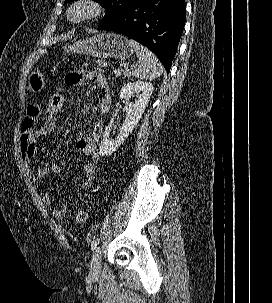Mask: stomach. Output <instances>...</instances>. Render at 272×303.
I'll use <instances>...</instances> for the list:
<instances>
[{"mask_svg": "<svg viewBox=\"0 0 272 303\" xmlns=\"http://www.w3.org/2000/svg\"><path fill=\"white\" fill-rule=\"evenodd\" d=\"M64 53L84 54L96 58L128 59L133 53V47L128 39L116 34H98L91 38L80 40L63 47ZM45 87L44 75L34 70L28 78V88L34 93L41 92Z\"/></svg>", "mask_w": 272, "mask_h": 303, "instance_id": "1", "label": "stomach"}]
</instances>
